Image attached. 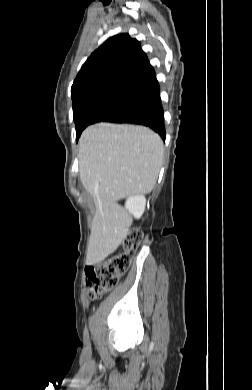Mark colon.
I'll list each match as a JSON object with an SVG mask.
<instances>
[{"mask_svg": "<svg viewBox=\"0 0 252 390\" xmlns=\"http://www.w3.org/2000/svg\"><path fill=\"white\" fill-rule=\"evenodd\" d=\"M142 238L141 230H133L121 242L119 252L86 269L87 286L92 298L100 297L118 284L120 276L132 263Z\"/></svg>", "mask_w": 252, "mask_h": 390, "instance_id": "1", "label": "colon"}]
</instances>
